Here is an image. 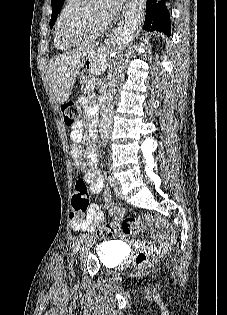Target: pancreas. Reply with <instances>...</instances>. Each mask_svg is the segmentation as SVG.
Instances as JSON below:
<instances>
[{
  "mask_svg": "<svg viewBox=\"0 0 227 315\" xmlns=\"http://www.w3.org/2000/svg\"><path fill=\"white\" fill-rule=\"evenodd\" d=\"M93 76L91 75H82L80 76V83H81V89H82V92L85 93V94H90L92 91H93V85H90L88 82L89 80L92 78Z\"/></svg>",
  "mask_w": 227,
  "mask_h": 315,
  "instance_id": "pancreas-1",
  "label": "pancreas"
}]
</instances>
